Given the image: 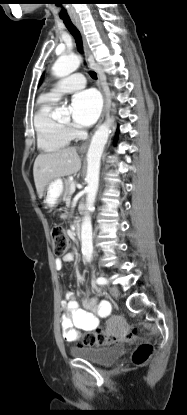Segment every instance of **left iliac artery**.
Segmentation results:
<instances>
[{
    "label": "left iliac artery",
    "mask_w": 187,
    "mask_h": 415,
    "mask_svg": "<svg viewBox=\"0 0 187 415\" xmlns=\"http://www.w3.org/2000/svg\"><path fill=\"white\" fill-rule=\"evenodd\" d=\"M97 283H98L99 285H106V284H107V280H106V278H104V277H99V278L97 279Z\"/></svg>",
    "instance_id": "1"
}]
</instances>
